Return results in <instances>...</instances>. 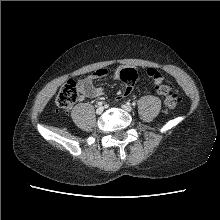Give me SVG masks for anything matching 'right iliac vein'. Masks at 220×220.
<instances>
[{
	"instance_id": "1",
	"label": "right iliac vein",
	"mask_w": 220,
	"mask_h": 220,
	"mask_svg": "<svg viewBox=\"0 0 220 220\" xmlns=\"http://www.w3.org/2000/svg\"><path fill=\"white\" fill-rule=\"evenodd\" d=\"M103 111H104V108H103L102 106H99V107L96 109V113H97L98 115L102 114Z\"/></svg>"
}]
</instances>
